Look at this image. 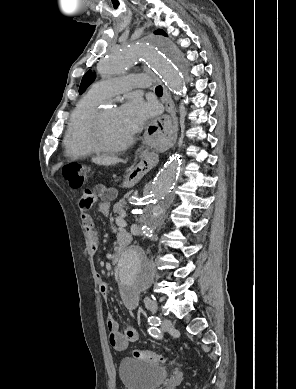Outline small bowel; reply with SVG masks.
<instances>
[{
	"mask_svg": "<svg viewBox=\"0 0 296 389\" xmlns=\"http://www.w3.org/2000/svg\"><path fill=\"white\" fill-rule=\"evenodd\" d=\"M116 196V191L112 188L105 186H97L94 191H85L79 199V209L81 211V221L87 231L90 247L93 251H96L99 244V239L94 231L93 221L91 216L86 212L96 198L102 200L100 204L101 211L105 212L108 208V201L112 200ZM122 236H129L125 232L118 234V240ZM108 285L104 281H100V292L104 298L108 296ZM146 307L149 309L154 308V304L150 300H146ZM107 327L109 330V343L118 351H123L128 347L130 342H134L138 338V331L134 326H127L123 331L120 330L118 321L113 316H108Z\"/></svg>",
	"mask_w": 296,
	"mask_h": 389,
	"instance_id": "1",
	"label": "small bowel"
}]
</instances>
